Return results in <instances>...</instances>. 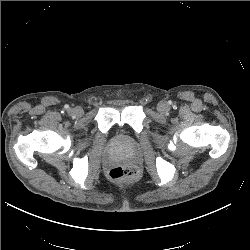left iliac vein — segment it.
Returning a JSON list of instances; mask_svg holds the SVG:
<instances>
[{"label": "left iliac vein", "instance_id": "4c4485c4", "mask_svg": "<svg viewBox=\"0 0 250 250\" xmlns=\"http://www.w3.org/2000/svg\"><path fill=\"white\" fill-rule=\"evenodd\" d=\"M157 108H158V111L161 112V113H163V114L168 113V111L170 109L169 105L166 102H164V101L160 102L158 104Z\"/></svg>", "mask_w": 250, "mask_h": 250}]
</instances>
